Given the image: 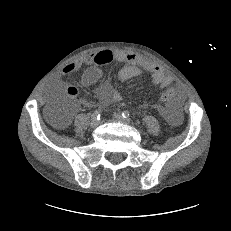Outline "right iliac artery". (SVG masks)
Segmentation results:
<instances>
[{"mask_svg":"<svg viewBox=\"0 0 231 231\" xmlns=\"http://www.w3.org/2000/svg\"><path fill=\"white\" fill-rule=\"evenodd\" d=\"M92 119H99L100 117V110H95L91 115Z\"/></svg>","mask_w":231,"mask_h":231,"instance_id":"82829eb1","label":"right iliac artery"}]
</instances>
